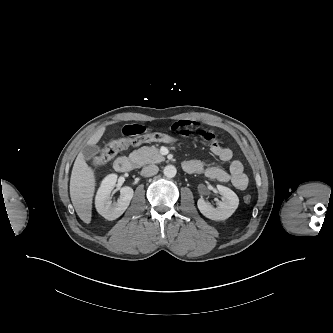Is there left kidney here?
I'll list each match as a JSON object with an SVG mask.
<instances>
[{
  "mask_svg": "<svg viewBox=\"0 0 333 333\" xmlns=\"http://www.w3.org/2000/svg\"><path fill=\"white\" fill-rule=\"evenodd\" d=\"M217 190L222 194V201L216 208L202 197L198 199L197 206L205 217L219 221L229 218L235 212L239 205V198L228 187L217 185Z\"/></svg>",
  "mask_w": 333,
  "mask_h": 333,
  "instance_id": "obj_1",
  "label": "left kidney"
}]
</instances>
